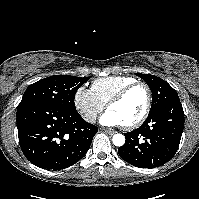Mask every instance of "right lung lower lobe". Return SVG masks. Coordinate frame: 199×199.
Returning <instances> with one entry per match:
<instances>
[{
	"label": "right lung lower lobe",
	"mask_w": 199,
	"mask_h": 199,
	"mask_svg": "<svg viewBox=\"0 0 199 199\" xmlns=\"http://www.w3.org/2000/svg\"><path fill=\"white\" fill-rule=\"evenodd\" d=\"M17 129L25 157L49 170L65 169L78 162L98 132L77 111L42 102L18 105Z\"/></svg>",
	"instance_id": "right-lung-lower-lobe-1"
}]
</instances>
